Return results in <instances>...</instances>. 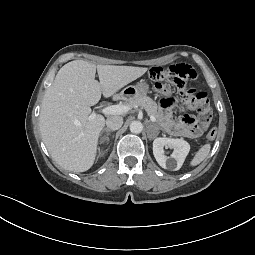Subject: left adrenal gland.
I'll list each match as a JSON object with an SVG mask.
<instances>
[{
  "instance_id": "left-adrenal-gland-1",
  "label": "left adrenal gland",
  "mask_w": 255,
  "mask_h": 255,
  "mask_svg": "<svg viewBox=\"0 0 255 255\" xmlns=\"http://www.w3.org/2000/svg\"><path fill=\"white\" fill-rule=\"evenodd\" d=\"M153 127H155V128H156V125L150 124V126H149V130H148V131H151V129H152Z\"/></svg>"
}]
</instances>
